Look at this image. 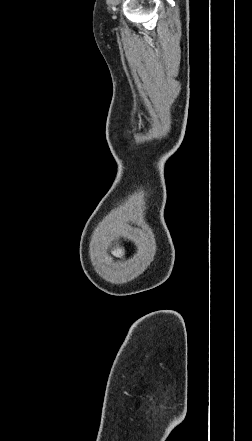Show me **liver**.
I'll return each instance as SVG.
<instances>
[{"label": "liver", "mask_w": 252, "mask_h": 441, "mask_svg": "<svg viewBox=\"0 0 252 441\" xmlns=\"http://www.w3.org/2000/svg\"><path fill=\"white\" fill-rule=\"evenodd\" d=\"M114 253H116L117 255L123 256L124 255V249L117 246L116 249H114Z\"/></svg>", "instance_id": "liver-1"}]
</instances>
